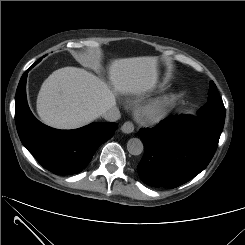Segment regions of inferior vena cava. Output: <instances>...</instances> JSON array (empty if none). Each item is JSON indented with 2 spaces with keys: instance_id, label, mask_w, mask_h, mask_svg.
Listing matches in <instances>:
<instances>
[{
  "instance_id": "1",
  "label": "inferior vena cava",
  "mask_w": 245,
  "mask_h": 245,
  "mask_svg": "<svg viewBox=\"0 0 245 245\" xmlns=\"http://www.w3.org/2000/svg\"><path fill=\"white\" fill-rule=\"evenodd\" d=\"M121 117L120 111L117 107H112L103 113V118L109 122H115Z\"/></svg>"
}]
</instances>
